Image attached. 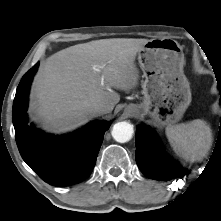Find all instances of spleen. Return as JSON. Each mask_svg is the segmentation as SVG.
<instances>
[{"mask_svg":"<svg viewBox=\"0 0 221 221\" xmlns=\"http://www.w3.org/2000/svg\"><path fill=\"white\" fill-rule=\"evenodd\" d=\"M165 132L174 151L192 162L205 157L212 145L211 128L201 119L169 125Z\"/></svg>","mask_w":221,"mask_h":221,"instance_id":"1","label":"spleen"}]
</instances>
